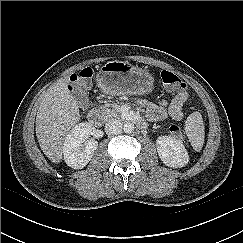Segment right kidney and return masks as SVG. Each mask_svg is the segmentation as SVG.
I'll return each mask as SVG.
<instances>
[{"instance_id": "right-kidney-1", "label": "right kidney", "mask_w": 243, "mask_h": 243, "mask_svg": "<svg viewBox=\"0 0 243 243\" xmlns=\"http://www.w3.org/2000/svg\"><path fill=\"white\" fill-rule=\"evenodd\" d=\"M92 134L91 126L82 122L76 124L67 133L63 143V155L65 163L73 169H82L93 157L98 142L89 139Z\"/></svg>"}]
</instances>
